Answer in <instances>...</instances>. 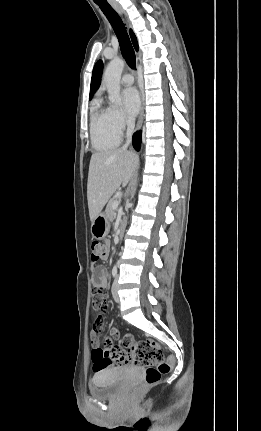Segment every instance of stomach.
Here are the masks:
<instances>
[{"label": "stomach", "mask_w": 261, "mask_h": 431, "mask_svg": "<svg viewBox=\"0 0 261 431\" xmlns=\"http://www.w3.org/2000/svg\"><path fill=\"white\" fill-rule=\"evenodd\" d=\"M110 229V222L104 212H100L91 224V234L96 239L105 238Z\"/></svg>", "instance_id": "1"}]
</instances>
